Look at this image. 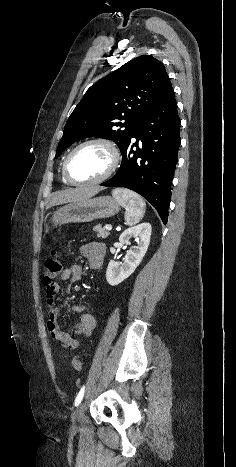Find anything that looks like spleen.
I'll list each match as a JSON object with an SVG mask.
<instances>
[{
  "mask_svg": "<svg viewBox=\"0 0 236 467\" xmlns=\"http://www.w3.org/2000/svg\"><path fill=\"white\" fill-rule=\"evenodd\" d=\"M112 195L126 210L125 223L129 226L139 223L144 216L146 208V204L141 196L124 188L114 189Z\"/></svg>",
  "mask_w": 236,
  "mask_h": 467,
  "instance_id": "spleen-1",
  "label": "spleen"
}]
</instances>
